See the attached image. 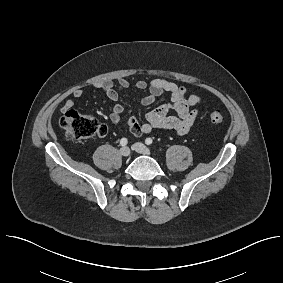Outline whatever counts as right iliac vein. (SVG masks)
<instances>
[{
    "label": "right iliac vein",
    "mask_w": 283,
    "mask_h": 283,
    "mask_svg": "<svg viewBox=\"0 0 283 283\" xmlns=\"http://www.w3.org/2000/svg\"><path fill=\"white\" fill-rule=\"evenodd\" d=\"M120 154L124 157H127L130 155V149L128 147H122L120 149Z\"/></svg>",
    "instance_id": "obj_1"
}]
</instances>
